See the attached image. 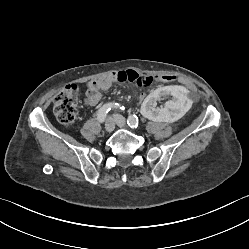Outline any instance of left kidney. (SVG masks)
Segmentation results:
<instances>
[{"label":"left kidney","instance_id":"1","mask_svg":"<svg viewBox=\"0 0 249 249\" xmlns=\"http://www.w3.org/2000/svg\"><path fill=\"white\" fill-rule=\"evenodd\" d=\"M137 112L145 122H177L191 108L192 101L186 90L174 84L161 86L151 93L143 92L138 97ZM160 102L161 106L154 104Z\"/></svg>","mask_w":249,"mask_h":249}]
</instances>
